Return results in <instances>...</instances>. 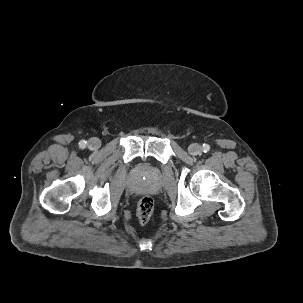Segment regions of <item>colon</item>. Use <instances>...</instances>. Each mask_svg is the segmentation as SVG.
<instances>
[{
    "label": "colon",
    "instance_id": "obj_1",
    "mask_svg": "<svg viewBox=\"0 0 303 303\" xmlns=\"http://www.w3.org/2000/svg\"><path fill=\"white\" fill-rule=\"evenodd\" d=\"M154 209L153 199L149 196H144L140 199L137 206V218L141 224H146L151 219Z\"/></svg>",
    "mask_w": 303,
    "mask_h": 303
}]
</instances>
